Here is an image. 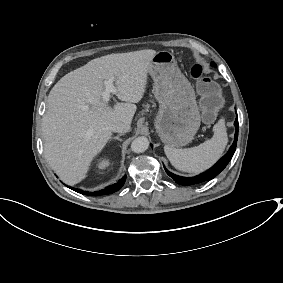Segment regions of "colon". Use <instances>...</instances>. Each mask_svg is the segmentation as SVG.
Returning a JSON list of instances; mask_svg holds the SVG:
<instances>
[{
    "label": "colon",
    "mask_w": 283,
    "mask_h": 283,
    "mask_svg": "<svg viewBox=\"0 0 283 283\" xmlns=\"http://www.w3.org/2000/svg\"><path fill=\"white\" fill-rule=\"evenodd\" d=\"M191 76L197 80L203 117L213 120L223 106V96L219 85L204 74L201 64H194L190 70Z\"/></svg>",
    "instance_id": "colon-1"
}]
</instances>
